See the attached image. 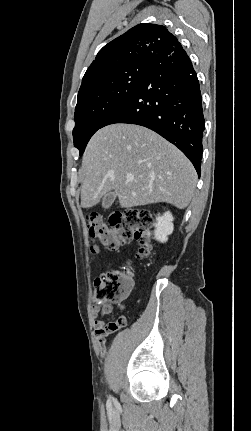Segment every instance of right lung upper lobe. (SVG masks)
<instances>
[{"label":"right lung upper lobe","instance_id":"obj_1","mask_svg":"<svg viewBox=\"0 0 251 431\" xmlns=\"http://www.w3.org/2000/svg\"><path fill=\"white\" fill-rule=\"evenodd\" d=\"M182 49L177 38L166 27L139 24L105 45L88 67L80 90L133 64H148L150 58Z\"/></svg>","mask_w":251,"mask_h":431}]
</instances>
